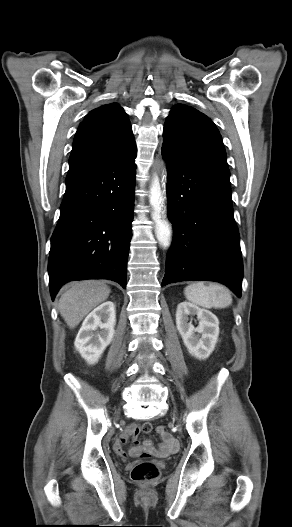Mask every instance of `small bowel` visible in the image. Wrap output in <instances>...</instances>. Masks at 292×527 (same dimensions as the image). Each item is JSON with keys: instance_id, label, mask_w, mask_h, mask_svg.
I'll return each instance as SVG.
<instances>
[{"instance_id": "1", "label": "small bowel", "mask_w": 292, "mask_h": 527, "mask_svg": "<svg viewBox=\"0 0 292 527\" xmlns=\"http://www.w3.org/2000/svg\"><path fill=\"white\" fill-rule=\"evenodd\" d=\"M151 429L152 426L146 432H149ZM140 431H144L142 426L140 427L136 424L128 425L114 444V450L116 453L120 456H125V452L123 450L124 444L129 438L136 437ZM157 432L162 438V442L158 448H155L149 441H146L143 446L136 442V445L131 449V453L135 456H144L148 461L154 460L156 454H158V458L160 460H173L175 457L174 452L178 448L177 441L169 433H167L168 429L166 426H163V424H160Z\"/></svg>"}]
</instances>
